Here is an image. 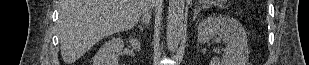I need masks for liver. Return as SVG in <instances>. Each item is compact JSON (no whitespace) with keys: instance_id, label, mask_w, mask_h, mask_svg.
Instances as JSON below:
<instances>
[{"instance_id":"liver-1","label":"liver","mask_w":309,"mask_h":65,"mask_svg":"<svg viewBox=\"0 0 309 65\" xmlns=\"http://www.w3.org/2000/svg\"><path fill=\"white\" fill-rule=\"evenodd\" d=\"M150 0H58V31L65 63L82 57L97 41L133 28Z\"/></svg>"}]
</instances>
